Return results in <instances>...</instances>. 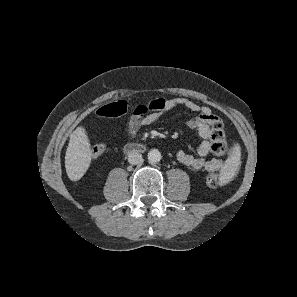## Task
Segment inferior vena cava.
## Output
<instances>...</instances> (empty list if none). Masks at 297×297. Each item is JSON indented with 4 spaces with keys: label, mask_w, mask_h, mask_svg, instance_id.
Returning <instances> with one entry per match:
<instances>
[{
    "label": "inferior vena cava",
    "mask_w": 297,
    "mask_h": 297,
    "mask_svg": "<svg viewBox=\"0 0 297 297\" xmlns=\"http://www.w3.org/2000/svg\"><path fill=\"white\" fill-rule=\"evenodd\" d=\"M143 161L142 155L137 150H133L128 154V162L132 165H137Z\"/></svg>",
    "instance_id": "602c4592"
}]
</instances>
